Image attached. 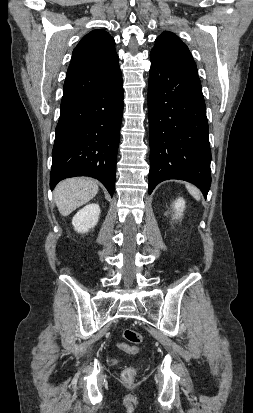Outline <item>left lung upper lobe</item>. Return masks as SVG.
Returning <instances> with one entry per match:
<instances>
[{
  "label": "left lung upper lobe",
  "mask_w": 253,
  "mask_h": 413,
  "mask_svg": "<svg viewBox=\"0 0 253 413\" xmlns=\"http://www.w3.org/2000/svg\"><path fill=\"white\" fill-rule=\"evenodd\" d=\"M151 52L157 53L176 69L200 81L197 66L188 47L175 34L163 32L155 40V46Z\"/></svg>",
  "instance_id": "obj_1"
}]
</instances>
